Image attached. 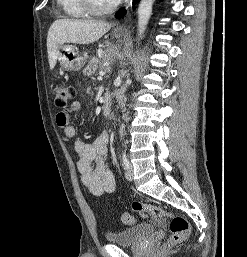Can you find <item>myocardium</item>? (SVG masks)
Listing matches in <instances>:
<instances>
[{
    "mask_svg": "<svg viewBox=\"0 0 247 257\" xmlns=\"http://www.w3.org/2000/svg\"><path fill=\"white\" fill-rule=\"evenodd\" d=\"M84 9L91 15L99 16L113 11L119 2L112 1L106 6H99L95 0H81Z\"/></svg>",
    "mask_w": 247,
    "mask_h": 257,
    "instance_id": "1",
    "label": "myocardium"
}]
</instances>
